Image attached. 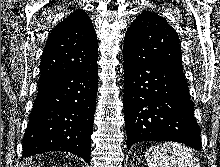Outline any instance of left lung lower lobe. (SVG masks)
Masks as SVG:
<instances>
[{"label":"left lung lower lobe","instance_id":"1","mask_svg":"<svg viewBox=\"0 0 220 167\" xmlns=\"http://www.w3.org/2000/svg\"><path fill=\"white\" fill-rule=\"evenodd\" d=\"M193 108L182 70L124 54L128 149L140 141H175L201 150Z\"/></svg>","mask_w":220,"mask_h":167}]
</instances>
